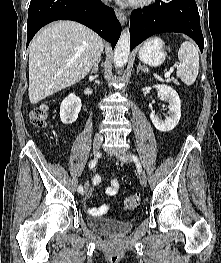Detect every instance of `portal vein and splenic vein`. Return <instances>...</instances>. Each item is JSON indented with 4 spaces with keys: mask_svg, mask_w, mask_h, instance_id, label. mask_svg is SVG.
I'll use <instances>...</instances> for the list:
<instances>
[{
    "mask_svg": "<svg viewBox=\"0 0 221 263\" xmlns=\"http://www.w3.org/2000/svg\"><path fill=\"white\" fill-rule=\"evenodd\" d=\"M179 68H180V66H178V65L171 67L170 70L165 73L164 77L169 78L171 73L174 71V69H179Z\"/></svg>",
    "mask_w": 221,
    "mask_h": 263,
    "instance_id": "portal-vein-and-splenic-vein-1",
    "label": "portal vein and splenic vein"
}]
</instances>
